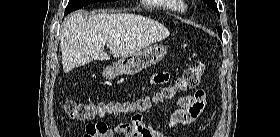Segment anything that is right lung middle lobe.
I'll return each mask as SVG.
<instances>
[{"label": "right lung middle lobe", "instance_id": "dd1d6c3e", "mask_svg": "<svg viewBox=\"0 0 280 137\" xmlns=\"http://www.w3.org/2000/svg\"><path fill=\"white\" fill-rule=\"evenodd\" d=\"M117 0H69V3L65 9V15L68 13L78 10L86 5H89L91 3L95 2H113Z\"/></svg>", "mask_w": 280, "mask_h": 137}]
</instances>
